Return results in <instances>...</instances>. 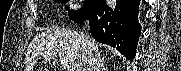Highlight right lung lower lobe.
<instances>
[{
	"label": "right lung lower lobe",
	"mask_w": 181,
	"mask_h": 71,
	"mask_svg": "<svg viewBox=\"0 0 181 71\" xmlns=\"http://www.w3.org/2000/svg\"><path fill=\"white\" fill-rule=\"evenodd\" d=\"M104 3L105 0H97L84 16L72 20L81 23L88 19L96 41L116 47L128 60H133L141 33L137 19L140 0H116L115 8Z\"/></svg>",
	"instance_id": "98d812e1"
}]
</instances>
